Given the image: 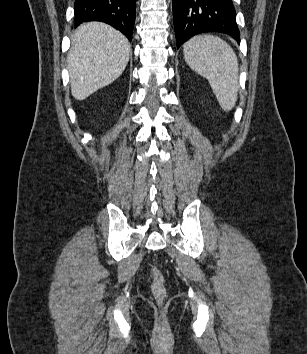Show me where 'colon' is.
Segmentation results:
<instances>
[{
  "instance_id": "obj_1",
  "label": "colon",
  "mask_w": 307,
  "mask_h": 354,
  "mask_svg": "<svg viewBox=\"0 0 307 354\" xmlns=\"http://www.w3.org/2000/svg\"><path fill=\"white\" fill-rule=\"evenodd\" d=\"M151 291L157 301H162L166 295L164 277L157 268L152 270Z\"/></svg>"
}]
</instances>
